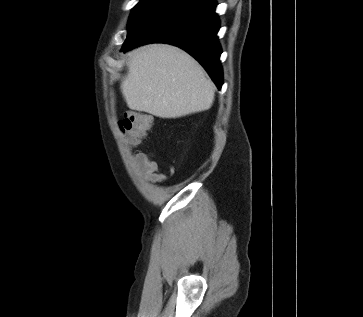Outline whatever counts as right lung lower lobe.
Returning <instances> with one entry per match:
<instances>
[{"label": "right lung lower lobe", "mask_w": 363, "mask_h": 317, "mask_svg": "<svg viewBox=\"0 0 363 317\" xmlns=\"http://www.w3.org/2000/svg\"><path fill=\"white\" fill-rule=\"evenodd\" d=\"M215 0H183L150 22L122 51L152 42L183 48L206 69L217 87L222 86L219 20Z\"/></svg>", "instance_id": "1"}]
</instances>
